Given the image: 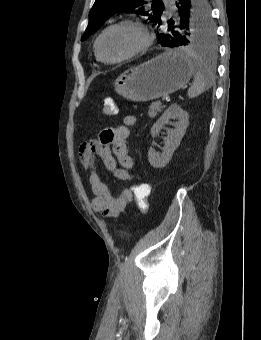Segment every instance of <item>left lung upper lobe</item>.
<instances>
[{
	"mask_svg": "<svg viewBox=\"0 0 261 340\" xmlns=\"http://www.w3.org/2000/svg\"><path fill=\"white\" fill-rule=\"evenodd\" d=\"M145 4L147 2L143 0H96L90 10L89 24L81 41L96 32L111 15L117 12L149 16L148 20L159 26L162 25L160 19L164 10L162 0H152L151 9L147 8ZM167 23V30L157 32L158 43L161 45L165 37L173 35L178 39V47L184 46L203 52H215V27L206 0H191L188 13L182 16L180 21L172 23L167 21Z\"/></svg>",
	"mask_w": 261,
	"mask_h": 340,
	"instance_id": "5c2ea615",
	"label": "left lung upper lobe"
}]
</instances>
